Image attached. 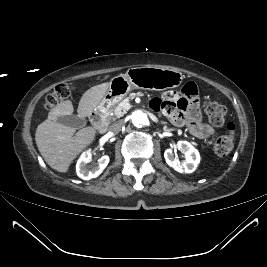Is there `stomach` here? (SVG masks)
<instances>
[{
  "label": "stomach",
  "mask_w": 267,
  "mask_h": 267,
  "mask_svg": "<svg viewBox=\"0 0 267 267\" xmlns=\"http://www.w3.org/2000/svg\"><path fill=\"white\" fill-rule=\"evenodd\" d=\"M184 75L175 70L157 67H133L125 74L111 79L108 89L96 110L104 112L114 107L133 89L165 90L176 88L183 82Z\"/></svg>",
  "instance_id": "0dacf381"
}]
</instances>
